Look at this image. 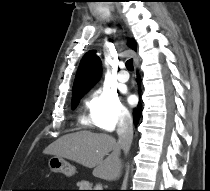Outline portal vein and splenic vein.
<instances>
[{
	"label": "portal vein and splenic vein",
	"mask_w": 210,
	"mask_h": 191,
	"mask_svg": "<svg viewBox=\"0 0 210 191\" xmlns=\"http://www.w3.org/2000/svg\"><path fill=\"white\" fill-rule=\"evenodd\" d=\"M97 188L96 189H101L102 188V186H100V185H98V186H96Z\"/></svg>",
	"instance_id": "portal-vein-and-splenic-vein-1"
}]
</instances>
